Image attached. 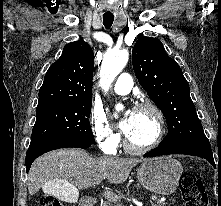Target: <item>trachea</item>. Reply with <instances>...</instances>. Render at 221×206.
I'll list each match as a JSON object with an SVG mask.
<instances>
[{"label":"trachea","mask_w":221,"mask_h":206,"mask_svg":"<svg viewBox=\"0 0 221 206\" xmlns=\"http://www.w3.org/2000/svg\"><path fill=\"white\" fill-rule=\"evenodd\" d=\"M114 21V16L113 15H104L103 16V24L105 28L109 29Z\"/></svg>","instance_id":"trachea-1"}]
</instances>
